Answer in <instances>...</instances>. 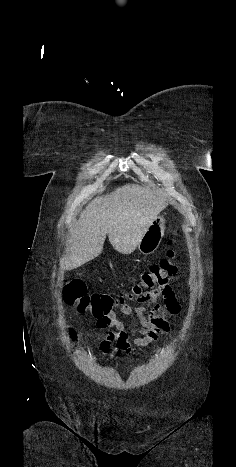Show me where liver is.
I'll return each mask as SVG.
<instances>
[{"mask_svg":"<svg viewBox=\"0 0 236 467\" xmlns=\"http://www.w3.org/2000/svg\"><path fill=\"white\" fill-rule=\"evenodd\" d=\"M167 205L161 195L129 184L96 197L71 230L62 268L73 270L99 256L106 235L119 253L134 252L148 226Z\"/></svg>","mask_w":236,"mask_h":467,"instance_id":"1","label":"liver"}]
</instances>
